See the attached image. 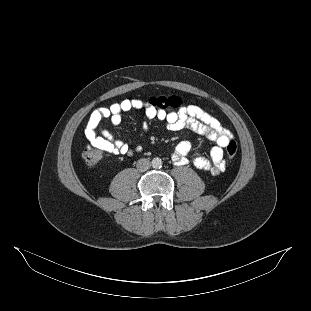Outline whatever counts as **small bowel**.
I'll return each mask as SVG.
<instances>
[{
    "instance_id": "1",
    "label": "small bowel",
    "mask_w": 311,
    "mask_h": 311,
    "mask_svg": "<svg viewBox=\"0 0 311 311\" xmlns=\"http://www.w3.org/2000/svg\"><path fill=\"white\" fill-rule=\"evenodd\" d=\"M134 109H144L149 120L158 119L164 121L166 129L169 131L189 128L198 134L206 136L215 143V146L212 147L209 158L195 156L192 159L193 165L212 174H220L225 170L223 148L227 146L233 135L218 119L197 105H188L177 112H167L138 99H125L108 107L98 108L90 114L84 131L89 143L88 147L113 154L131 153L132 150L128 144L117 139L110 131L101 128V123L103 119L108 118L112 125L119 126L122 122L123 113ZM148 129V124L145 123L143 130L148 132ZM190 151V142L182 141L175 147L172 158L177 164H186Z\"/></svg>"
}]
</instances>
